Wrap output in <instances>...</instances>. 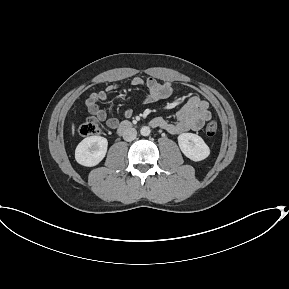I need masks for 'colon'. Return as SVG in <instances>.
Returning a JSON list of instances; mask_svg holds the SVG:
<instances>
[{
  "label": "colon",
  "instance_id": "colon-1",
  "mask_svg": "<svg viewBox=\"0 0 289 289\" xmlns=\"http://www.w3.org/2000/svg\"><path fill=\"white\" fill-rule=\"evenodd\" d=\"M218 128V124L216 120L211 119L207 122L205 126V133L208 137H212L216 134ZM78 132L81 136H96L102 133V127L99 123V120L96 117H90L86 119L84 123H82L79 128Z\"/></svg>",
  "mask_w": 289,
  "mask_h": 289
}]
</instances>
